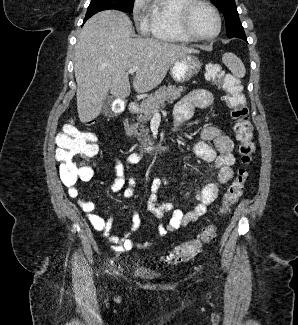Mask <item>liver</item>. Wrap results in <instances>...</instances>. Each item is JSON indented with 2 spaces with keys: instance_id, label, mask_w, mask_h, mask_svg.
<instances>
[{
  "instance_id": "6515ba94",
  "label": "liver",
  "mask_w": 298,
  "mask_h": 325,
  "mask_svg": "<svg viewBox=\"0 0 298 325\" xmlns=\"http://www.w3.org/2000/svg\"><path fill=\"white\" fill-rule=\"evenodd\" d=\"M131 32V20L121 10H101L81 28L74 54L81 122L99 116L109 92L116 98L129 96V68H137L132 80L134 90L148 92L162 82L171 64L182 54L200 52L186 44L131 38Z\"/></svg>"
}]
</instances>
